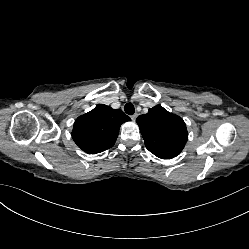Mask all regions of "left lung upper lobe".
I'll use <instances>...</instances> for the list:
<instances>
[{
    "label": "left lung upper lobe",
    "instance_id": "5c2ea615",
    "mask_svg": "<svg viewBox=\"0 0 249 249\" xmlns=\"http://www.w3.org/2000/svg\"><path fill=\"white\" fill-rule=\"evenodd\" d=\"M146 148L161 159L176 157L184 148L188 133L181 117L161 105L149 109L136 119Z\"/></svg>",
    "mask_w": 249,
    "mask_h": 249
}]
</instances>
